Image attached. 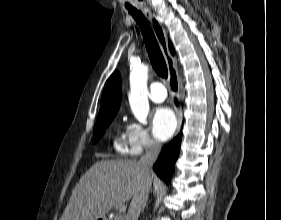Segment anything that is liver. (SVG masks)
<instances>
[{
	"label": "liver",
	"mask_w": 281,
	"mask_h": 220,
	"mask_svg": "<svg viewBox=\"0 0 281 220\" xmlns=\"http://www.w3.org/2000/svg\"><path fill=\"white\" fill-rule=\"evenodd\" d=\"M143 179L137 161L96 162L76 184L60 220H98L133 197Z\"/></svg>",
	"instance_id": "6515ba94"
}]
</instances>
